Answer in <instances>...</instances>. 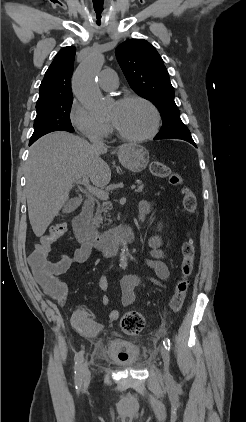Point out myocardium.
Segmentation results:
<instances>
[{"label":"myocardium","instance_id":"obj_1","mask_svg":"<svg viewBox=\"0 0 246 422\" xmlns=\"http://www.w3.org/2000/svg\"><path fill=\"white\" fill-rule=\"evenodd\" d=\"M132 102L142 103L151 110L153 114V118H154L151 129L145 134L134 136V135H129L121 131L113 123H112V127L115 130L116 134L123 140L130 141V142H143L154 137L159 131L160 124H161V114L158 108L156 107V105L151 100L139 95L124 96L117 101V104L124 105V104L132 103Z\"/></svg>","mask_w":246,"mask_h":422}]
</instances>
